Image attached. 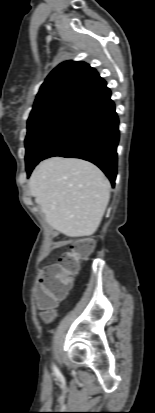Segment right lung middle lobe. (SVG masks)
<instances>
[{"label":"right lung middle lobe","instance_id":"right-lung-middle-lobe-1","mask_svg":"<svg viewBox=\"0 0 155 413\" xmlns=\"http://www.w3.org/2000/svg\"><path fill=\"white\" fill-rule=\"evenodd\" d=\"M78 105H66L28 122L26 147V170L38 164L59 139L66 126L75 114Z\"/></svg>","mask_w":155,"mask_h":413}]
</instances>
